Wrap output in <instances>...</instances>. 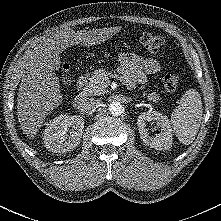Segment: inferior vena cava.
Listing matches in <instances>:
<instances>
[{"label":"inferior vena cava","mask_w":221,"mask_h":221,"mask_svg":"<svg viewBox=\"0 0 221 221\" xmlns=\"http://www.w3.org/2000/svg\"><path fill=\"white\" fill-rule=\"evenodd\" d=\"M101 104L100 99L91 98L90 100L86 101L82 106L83 112H91L94 111L99 105Z\"/></svg>","instance_id":"inferior-vena-cava-1"}]
</instances>
